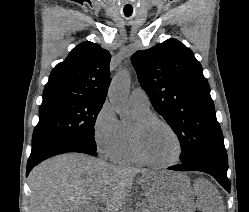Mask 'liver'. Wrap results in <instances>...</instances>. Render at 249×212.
Instances as JSON below:
<instances>
[{"instance_id":"1","label":"liver","mask_w":249,"mask_h":212,"mask_svg":"<svg viewBox=\"0 0 249 212\" xmlns=\"http://www.w3.org/2000/svg\"><path fill=\"white\" fill-rule=\"evenodd\" d=\"M138 174H142L138 184L149 198L150 208L153 212H160L170 190L171 172H148L143 168L114 166L85 154H61L33 168L28 178L31 210L94 212L93 204H104V212H119ZM183 178L189 180L187 176ZM194 188L198 210L224 212L223 198L213 184L207 180H197Z\"/></svg>"}]
</instances>
